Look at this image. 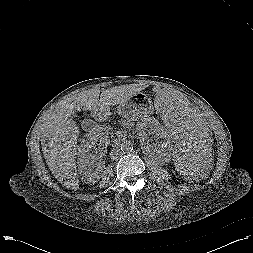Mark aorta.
<instances>
[{
	"mask_svg": "<svg viewBox=\"0 0 253 253\" xmlns=\"http://www.w3.org/2000/svg\"><path fill=\"white\" fill-rule=\"evenodd\" d=\"M133 146L130 141H123L120 145V149L123 153H128L132 150Z\"/></svg>",
	"mask_w": 253,
	"mask_h": 253,
	"instance_id": "obj_1",
	"label": "aorta"
}]
</instances>
